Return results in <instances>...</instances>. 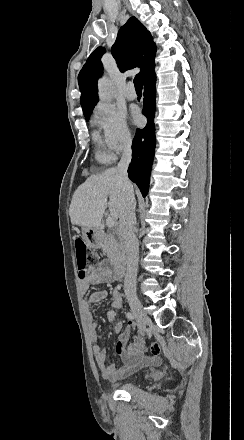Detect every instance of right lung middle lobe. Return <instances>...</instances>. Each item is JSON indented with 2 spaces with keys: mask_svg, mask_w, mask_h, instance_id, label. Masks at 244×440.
Here are the masks:
<instances>
[{
  "mask_svg": "<svg viewBox=\"0 0 244 440\" xmlns=\"http://www.w3.org/2000/svg\"><path fill=\"white\" fill-rule=\"evenodd\" d=\"M91 111H89V112H84V116H85V118H86V121H88L89 120V113H90Z\"/></svg>",
  "mask_w": 244,
  "mask_h": 440,
  "instance_id": "1",
  "label": "right lung middle lobe"
}]
</instances>
